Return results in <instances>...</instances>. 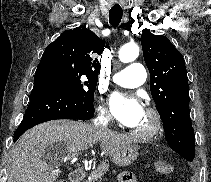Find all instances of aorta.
<instances>
[{
	"label": "aorta",
	"mask_w": 211,
	"mask_h": 182,
	"mask_svg": "<svg viewBox=\"0 0 211 182\" xmlns=\"http://www.w3.org/2000/svg\"><path fill=\"white\" fill-rule=\"evenodd\" d=\"M139 55V47L135 43H127L119 50V59L121 62L128 63L134 61Z\"/></svg>",
	"instance_id": "obj_1"
}]
</instances>
